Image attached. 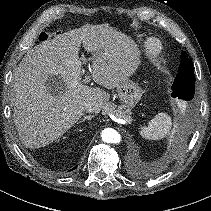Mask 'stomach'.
I'll use <instances>...</instances> for the list:
<instances>
[{
  "instance_id": "1",
  "label": "stomach",
  "mask_w": 211,
  "mask_h": 211,
  "mask_svg": "<svg viewBox=\"0 0 211 211\" xmlns=\"http://www.w3.org/2000/svg\"><path fill=\"white\" fill-rule=\"evenodd\" d=\"M117 93L123 106L130 111L140 100L142 90L137 83L126 79L117 87Z\"/></svg>"
}]
</instances>
